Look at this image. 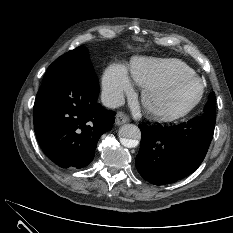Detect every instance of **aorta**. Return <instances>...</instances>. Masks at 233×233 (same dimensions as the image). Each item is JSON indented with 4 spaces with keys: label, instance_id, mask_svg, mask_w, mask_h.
Listing matches in <instances>:
<instances>
[{
    "label": "aorta",
    "instance_id": "obj_1",
    "mask_svg": "<svg viewBox=\"0 0 233 233\" xmlns=\"http://www.w3.org/2000/svg\"><path fill=\"white\" fill-rule=\"evenodd\" d=\"M120 142L127 148H134L141 138L140 129L134 124H124L119 130Z\"/></svg>",
    "mask_w": 233,
    "mask_h": 233
}]
</instances>
